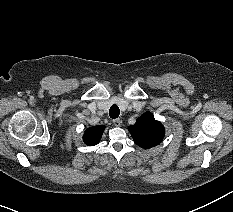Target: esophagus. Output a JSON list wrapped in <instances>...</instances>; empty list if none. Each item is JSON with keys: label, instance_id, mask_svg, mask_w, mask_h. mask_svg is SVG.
<instances>
[{"label": "esophagus", "instance_id": "esophagus-1", "mask_svg": "<svg viewBox=\"0 0 233 212\" xmlns=\"http://www.w3.org/2000/svg\"><path fill=\"white\" fill-rule=\"evenodd\" d=\"M122 123V120L117 118V119H114L113 120V124L116 126V127H119Z\"/></svg>", "mask_w": 233, "mask_h": 212}]
</instances>
